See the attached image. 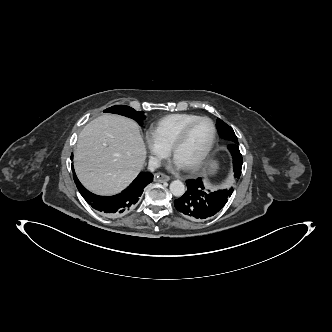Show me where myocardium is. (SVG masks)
I'll return each mask as SVG.
<instances>
[{
  "label": "myocardium",
  "mask_w": 332,
  "mask_h": 332,
  "mask_svg": "<svg viewBox=\"0 0 332 332\" xmlns=\"http://www.w3.org/2000/svg\"><path fill=\"white\" fill-rule=\"evenodd\" d=\"M200 121H208L212 127V137H211V141L208 145V147L206 148V150L202 153V155L191 165L185 167V169L187 171H197L199 170L203 164L206 162V160L208 159V157L210 156L216 141H217V128L214 124V122L205 116H199L198 118L190 121L189 123H187L179 132V134L177 135V137L175 138V140L173 141L171 147H170V153L172 156H174L176 150L180 147V145L184 142V140L186 139L190 129L198 122Z\"/></svg>",
  "instance_id": "f54148a6"
}]
</instances>
